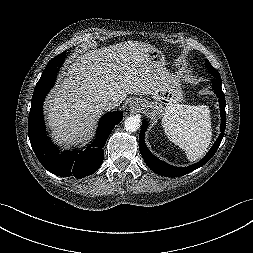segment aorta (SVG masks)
I'll list each match as a JSON object with an SVG mask.
<instances>
[{"label":"aorta","instance_id":"obj_1","mask_svg":"<svg viewBox=\"0 0 253 253\" xmlns=\"http://www.w3.org/2000/svg\"><path fill=\"white\" fill-rule=\"evenodd\" d=\"M124 127H125L126 131H128V132H135L140 127V119L136 116L128 117L124 121Z\"/></svg>","mask_w":253,"mask_h":253}]
</instances>
